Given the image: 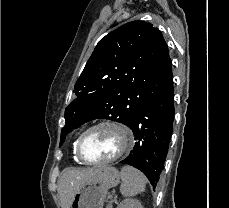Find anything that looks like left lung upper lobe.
I'll use <instances>...</instances> for the list:
<instances>
[{
  "instance_id": "left-lung-upper-lobe-1",
  "label": "left lung upper lobe",
  "mask_w": 229,
  "mask_h": 208,
  "mask_svg": "<svg viewBox=\"0 0 229 208\" xmlns=\"http://www.w3.org/2000/svg\"><path fill=\"white\" fill-rule=\"evenodd\" d=\"M172 83L168 46L158 28L139 20L120 26L99 41L77 80L59 146L71 130L93 119L129 126Z\"/></svg>"
}]
</instances>
